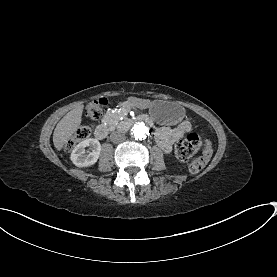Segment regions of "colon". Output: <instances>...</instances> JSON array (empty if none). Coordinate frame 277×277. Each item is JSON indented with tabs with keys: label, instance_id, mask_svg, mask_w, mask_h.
I'll list each match as a JSON object with an SVG mask.
<instances>
[{
	"label": "colon",
	"instance_id": "1",
	"mask_svg": "<svg viewBox=\"0 0 277 277\" xmlns=\"http://www.w3.org/2000/svg\"><path fill=\"white\" fill-rule=\"evenodd\" d=\"M108 105V100L105 97L95 98L88 102L86 106V114L92 118H98L103 109ZM90 127H81L75 136V141H81L89 138ZM72 144V143H71ZM214 146L211 141L203 138L202 134L195 133L188 136L186 139L178 141L175 148L176 158L183 163L191 173L200 172L209 161L212 155ZM200 152V157L194 155Z\"/></svg>",
	"mask_w": 277,
	"mask_h": 277
}]
</instances>
